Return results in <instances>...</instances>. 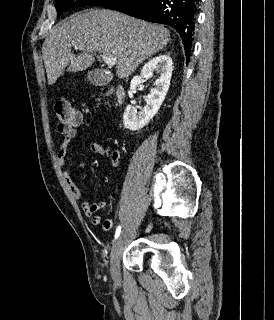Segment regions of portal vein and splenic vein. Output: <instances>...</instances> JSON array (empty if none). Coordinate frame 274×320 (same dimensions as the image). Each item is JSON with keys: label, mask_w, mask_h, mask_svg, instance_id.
I'll return each instance as SVG.
<instances>
[{"label": "portal vein and splenic vein", "mask_w": 274, "mask_h": 320, "mask_svg": "<svg viewBox=\"0 0 274 320\" xmlns=\"http://www.w3.org/2000/svg\"><path fill=\"white\" fill-rule=\"evenodd\" d=\"M77 48V46H76ZM103 62H105V64H107V66H116L117 64V60L116 58H114V56H109V54H100Z\"/></svg>", "instance_id": "18ae733b"}]
</instances>
